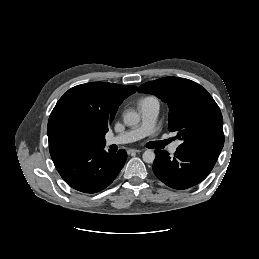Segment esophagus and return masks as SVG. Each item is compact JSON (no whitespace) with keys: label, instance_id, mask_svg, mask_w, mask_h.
<instances>
[{"label":"esophagus","instance_id":"1","mask_svg":"<svg viewBox=\"0 0 259 259\" xmlns=\"http://www.w3.org/2000/svg\"><path fill=\"white\" fill-rule=\"evenodd\" d=\"M140 152H142V150H140V149H129L128 150V154L140 153Z\"/></svg>","mask_w":259,"mask_h":259}]
</instances>
